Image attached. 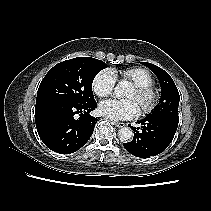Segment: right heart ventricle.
I'll list each match as a JSON object with an SVG mask.
<instances>
[{"label":"right heart ventricle","instance_id":"1","mask_svg":"<svg viewBox=\"0 0 211 211\" xmlns=\"http://www.w3.org/2000/svg\"><path fill=\"white\" fill-rule=\"evenodd\" d=\"M115 78L121 77L123 80H128L134 85H152L154 82L152 74L141 67H133L117 72L112 70Z\"/></svg>","mask_w":211,"mask_h":211}]
</instances>
